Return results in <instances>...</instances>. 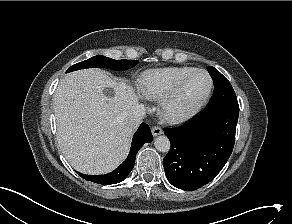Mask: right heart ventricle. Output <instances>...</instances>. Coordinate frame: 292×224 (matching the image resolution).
<instances>
[{"instance_id": "obj_1", "label": "right heart ventricle", "mask_w": 292, "mask_h": 224, "mask_svg": "<svg viewBox=\"0 0 292 224\" xmlns=\"http://www.w3.org/2000/svg\"><path fill=\"white\" fill-rule=\"evenodd\" d=\"M195 69L181 66L146 71L139 78L140 91L150 100H160L183 76Z\"/></svg>"}]
</instances>
